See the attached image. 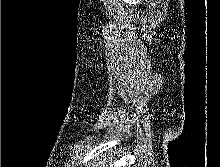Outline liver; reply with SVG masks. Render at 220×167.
I'll return each mask as SVG.
<instances>
[{
    "label": "liver",
    "instance_id": "liver-1",
    "mask_svg": "<svg viewBox=\"0 0 220 167\" xmlns=\"http://www.w3.org/2000/svg\"><path fill=\"white\" fill-rule=\"evenodd\" d=\"M109 162L107 159L100 160L99 163H97V167H109Z\"/></svg>",
    "mask_w": 220,
    "mask_h": 167
}]
</instances>
